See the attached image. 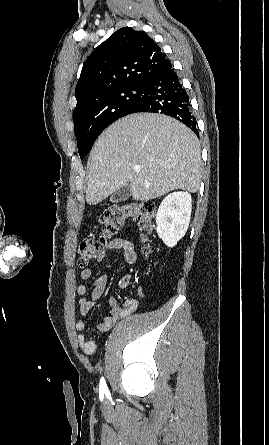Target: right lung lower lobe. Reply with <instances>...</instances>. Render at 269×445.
<instances>
[{
	"label": "right lung lower lobe",
	"instance_id": "obj_1",
	"mask_svg": "<svg viewBox=\"0 0 269 445\" xmlns=\"http://www.w3.org/2000/svg\"><path fill=\"white\" fill-rule=\"evenodd\" d=\"M137 112L166 114L178 119L193 132H198L189 96L170 62L148 81L146 93L131 113Z\"/></svg>",
	"mask_w": 269,
	"mask_h": 445
}]
</instances>
